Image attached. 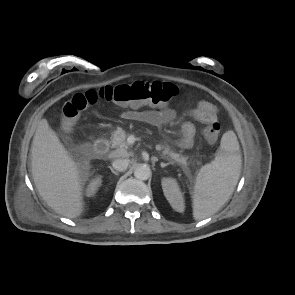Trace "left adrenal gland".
Segmentation results:
<instances>
[{
    "label": "left adrenal gland",
    "instance_id": "left-adrenal-gland-1",
    "mask_svg": "<svg viewBox=\"0 0 295 295\" xmlns=\"http://www.w3.org/2000/svg\"><path fill=\"white\" fill-rule=\"evenodd\" d=\"M171 163L170 162H168V163H163V162H161L160 163V166L162 167V168H164V167H166V166H168V165H170Z\"/></svg>",
    "mask_w": 295,
    "mask_h": 295
}]
</instances>
